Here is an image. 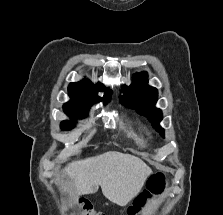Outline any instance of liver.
I'll list each match as a JSON object with an SVG mask.
<instances>
[{
    "mask_svg": "<svg viewBox=\"0 0 223 215\" xmlns=\"http://www.w3.org/2000/svg\"><path fill=\"white\" fill-rule=\"evenodd\" d=\"M70 175L77 195L95 193L101 185L102 193L117 205H126L138 195L152 169L142 159L120 153L106 151L95 157L72 161L64 169Z\"/></svg>",
    "mask_w": 223,
    "mask_h": 215,
    "instance_id": "obj_1",
    "label": "liver"
}]
</instances>
